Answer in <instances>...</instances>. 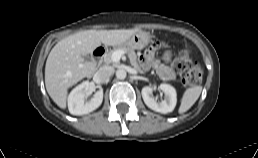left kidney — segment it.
I'll list each match as a JSON object with an SVG mask.
<instances>
[{
	"label": "left kidney",
	"instance_id": "1",
	"mask_svg": "<svg viewBox=\"0 0 258 158\" xmlns=\"http://www.w3.org/2000/svg\"><path fill=\"white\" fill-rule=\"evenodd\" d=\"M159 89L165 94V99L161 102H157L154 99L152 87H143L141 93L144 103L150 109L162 114L172 112L177 103V93L175 88L169 84L162 83L160 84Z\"/></svg>",
	"mask_w": 258,
	"mask_h": 158
}]
</instances>
